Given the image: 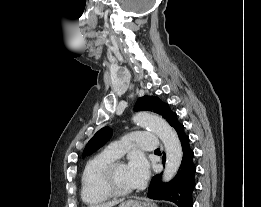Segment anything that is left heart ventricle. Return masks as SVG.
Masks as SVG:
<instances>
[{
  "label": "left heart ventricle",
  "mask_w": 261,
  "mask_h": 207,
  "mask_svg": "<svg viewBox=\"0 0 261 207\" xmlns=\"http://www.w3.org/2000/svg\"><path fill=\"white\" fill-rule=\"evenodd\" d=\"M114 183L119 189H122V190L132 189V185H131L125 164L119 165L115 169Z\"/></svg>",
  "instance_id": "b2bd125f"
}]
</instances>
